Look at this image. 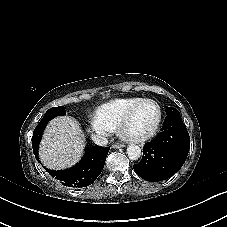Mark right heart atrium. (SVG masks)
I'll return each mask as SVG.
<instances>
[{
	"label": "right heart atrium",
	"mask_w": 227,
	"mask_h": 227,
	"mask_svg": "<svg viewBox=\"0 0 227 227\" xmlns=\"http://www.w3.org/2000/svg\"><path fill=\"white\" fill-rule=\"evenodd\" d=\"M88 133L93 140H96L109 136L111 134V130L103 126H97L95 124H92L88 128Z\"/></svg>",
	"instance_id": "d8ad5b80"
}]
</instances>
